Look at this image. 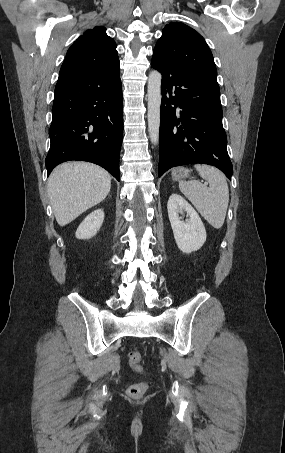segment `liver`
<instances>
[{
	"label": "liver",
	"mask_w": 285,
	"mask_h": 453,
	"mask_svg": "<svg viewBox=\"0 0 285 453\" xmlns=\"http://www.w3.org/2000/svg\"><path fill=\"white\" fill-rule=\"evenodd\" d=\"M111 188V176L87 162L57 166L48 179V196L60 226H65L103 201Z\"/></svg>",
	"instance_id": "liver-1"
}]
</instances>
